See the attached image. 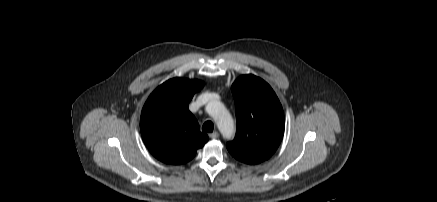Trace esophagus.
<instances>
[{
	"label": "esophagus",
	"instance_id": "obj_1",
	"mask_svg": "<svg viewBox=\"0 0 437 202\" xmlns=\"http://www.w3.org/2000/svg\"><path fill=\"white\" fill-rule=\"evenodd\" d=\"M218 136H219L218 132H213V133L209 134V137L212 139H216V138H218Z\"/></svg>",
	"mask_w": 437,
	"mask_h": 202
}]
</instances>
